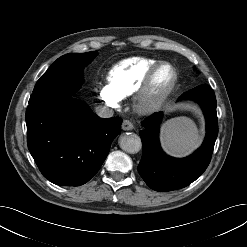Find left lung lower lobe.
I'll use <instances>...</instances> for the list:
<instances>
[{"instance_id":"0a47b994","label":"left lung lower lobe","mask_w":247,"mask_h":247,"mask_svg":"<svg viewBox=\"0 0 247 247\" xmlns=\"http://www.w3.org/2000/svg\"><path fill=\"white\" fill-rule=\"evenodd\" d=\"M179 99L198 102L206 118V137L202 146L187 158L166 155L160 147L158 132L161 112L154 113L141 124L142 158L138 171L146 184L159 192L181 189L202 175L211 160L218 135L216 97L207 84L185 92Z\"/></svg>"}]
</instances>
